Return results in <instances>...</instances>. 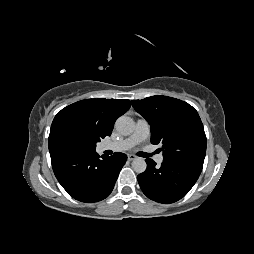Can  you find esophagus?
<instances>
[{
    "instance_id": "34e87169",
    "label": "esophagus",
    "mask_w": 254,
    "mask_h": 254,
    "mask_svg": "<svg viewBox=\"0 0 254 254\" xmlns=\"http://www.w3.org/2000/svg\"><path fill=\"white\" fill-rule=\"evenodd\" d=\"M137 157L135 156V155H133V154H128V160L129 161H132V160H134V159H136Z\"/></svg>"
}]
</instances>
